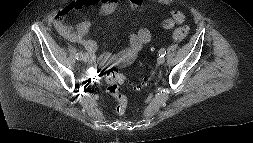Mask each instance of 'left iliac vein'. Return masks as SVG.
<instances>
[{
	"mask_svg": "<svg viewBox=\"0 0 253 143\" xmlns=\"http://www.w3.org/2000/svg\"><path fill=\"white\" fill-rule=\"evenodd\" d=\"M164 62H165V58H164V57H159L158 60H157V63H158L159 65L164 64Z\"/></svg>",
	"mask_w": 253,
	"mask_h": 143,
	"instance_id": "4c4485c4",
	"label": "left iliac vein"
}]
</instances>
